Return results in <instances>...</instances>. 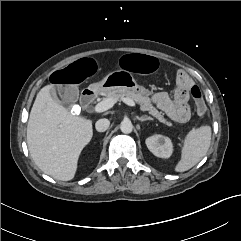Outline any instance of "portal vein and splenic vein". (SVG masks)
<instances>
[{
  "label": "portal vein and splenic vein",
  "mask_w": 241,
  "mask_h": 241,
  "mask_svg": "<svg viewBox=\"0 0 241 241\" xmlns=\"http://www.w3.org/2000/svg\"><path fill=\"white\" fill-rule=\"evenodd\" d=\"M124 103H126L129 106L135 107L136 103L128 98H123L122 99ZM116 102L113 99H104L101 102H99L98 104L95 105L94 107V111L97 113H101L104 112L110 108H112L114 106Z\"/></svg>",
  "instance_id": "portal-vein-and-splenic-vein-1"
}]
</instances>
